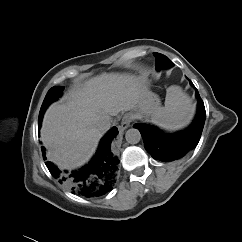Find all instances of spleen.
<instances>
[{
	"label": "spleen",
	"instance_id": "obj_1",
	"mask_svg": "<svg viewBox=\"0 0 242 242\" xmlns=\"http://www.w3.org/2000/svg\"><path fill=\"white\" fill-rule=\"evenodd\" d=\"M192 108L189 99L176 86H171L166 94L165 106L156 107L152 111V120L159 126L177 130L189 121Z\"/></svg>",
	"mask_w": 242,
	"mask_h": 242
}]
</instances>
